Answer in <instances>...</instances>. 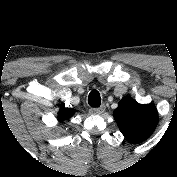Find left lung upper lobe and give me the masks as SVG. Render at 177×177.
Instances as JSON below:
<instances>
[{
	"instance_id": "1",
	"label": "left lung upper lobe",
	"mask_w": 177,
	"mask_h": 177,
	"mask_svg": "<svg viewBox=\"0 0 177 177\" xmlns=\"http://www.w3.org/2000/svg\"><path fill=\"white\" fill-rule=\"evenodd\" d=\"M113 116L124 137L131 143H141L154 132L158 112L153 104L141 105L130 97H124Z\"/></svg>"
}]
</instances>
